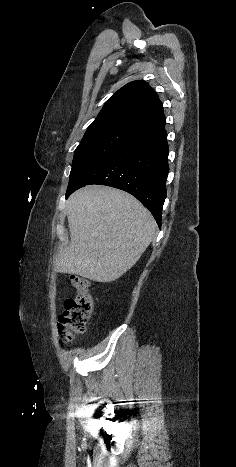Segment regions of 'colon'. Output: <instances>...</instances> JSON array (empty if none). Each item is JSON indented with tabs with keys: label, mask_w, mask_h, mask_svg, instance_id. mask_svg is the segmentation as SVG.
I'll list each match as a JSON object with an SVG mask.
<instances>
[{
	"label": "colon",
	"mask_w": 236,
	"mask_h": 467,
	"mask_svg": "<svg viewBox=\"0 0 236 467\" xmlns=\"http://www.w3.org/2000/svg\"><path fill=\"white\" fill-rule=\"evenodd\" d=\"M69 284L75 296L65 300L64 311L58 323L60 337L66 343L86 331L93 312V296L88 279L80 275H71Z\"/></svg>",
	"instance_id": "obj_1"
}]
</instances>
